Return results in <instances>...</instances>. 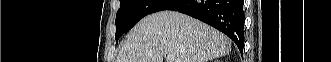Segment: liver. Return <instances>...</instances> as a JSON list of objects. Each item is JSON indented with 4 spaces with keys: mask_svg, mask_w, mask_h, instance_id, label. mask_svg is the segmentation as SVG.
<instances>
[{
    "mask_svg": "<svg viewBox=\"0 0 331 62\" xmlns=\"http://www.w3.org/2000/svg\"><path fill=\"white\" fill-rule=\"evenodd\" d=\"M231 41L190 16L163 11L143 18L121 43L116 62H208L228 54Z\"/></svg>",
    "mask_w": 331,
    "mask_h": 62,
    "instance_id": "6515ba94",
    "label": "liver"
}]
</instances>
